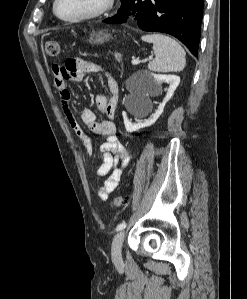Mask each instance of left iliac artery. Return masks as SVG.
<instances>
[{"label":"left iliac artery","mask_w":247,"mask_h":299,"mask_svg":"<svg viewBox=\"0 0 247 299\" xmlns=\"http://www.w3.org/2000/svg\"><path fill=\"white\" fill-rule=\"evenodd\" d=\"M126 227V223L125 222H122L120 224H118V226L116 227V231H120L122 229H124Z\"/></svg>","instance_id":"44dca946"}]
</instances>
